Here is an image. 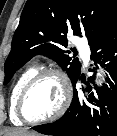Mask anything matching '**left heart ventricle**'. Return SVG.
Returning a JSON list of instances; mask_svg holds the SVG:
<instances>
[{
    "mask_svg": "<svg viewBox=\"0 0 117 136\" xmlns=\"http://www.w3.org/2000/svg\"><path fill=\"white\" fill-rule=\"evenodd\" d=\"M62 100L60 81L54 76L41 79L25 98L23 111L28 119H41L52 115Z\"/></svg>",
    "mask_w": 117,
    "mask_h": 136,
    "instance_id": "obj_1",
    "label": "left heart ventricle"
}]
</instances>
